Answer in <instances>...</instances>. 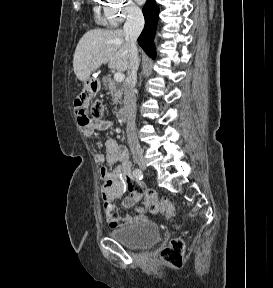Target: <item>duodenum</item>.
I'll list each match as a JSON object with an SVG mask.
<instances>
[{"mask_svg":"<svg viewBox=\"0 0 273 288\" xmlns=\"http://www.w3.org/2000/svg\"><path fill=\"white\" fill-rule=\"evenodd\" d=\"M117 118H118V121L121 122V123L126 122V120H127L126 111L124 109H122V108H119L117 110Z\"/></svg>","mask_w":273,"mask_h":288,"instance_id":"410a0bca","label":"duodenum"}]
</instances>
